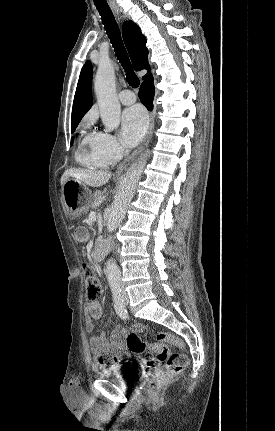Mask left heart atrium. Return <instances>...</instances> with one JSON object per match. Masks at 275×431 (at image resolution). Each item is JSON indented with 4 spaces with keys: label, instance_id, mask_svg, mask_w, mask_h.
I'll list each match as a JSON object with an SVG mask.
<instances>
[{
    "label": "left heart atrium",
    "instance_id": "1",
    "mask_svg": "<svg viewBox=\"0 0 275 431\" xmlns=\"http://www.w3.org/2000/svg\"><path fill=\"white\" fill-rule=\"evenodd\" d=\"M148 126L147 114L140 106L127 108L121 118L120 138L127 147L135 146L144 136Z\"/></svg>",
    "mask_w": 275,
    "mask_h": 431
}]
</instances>
